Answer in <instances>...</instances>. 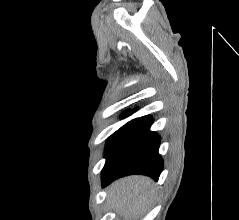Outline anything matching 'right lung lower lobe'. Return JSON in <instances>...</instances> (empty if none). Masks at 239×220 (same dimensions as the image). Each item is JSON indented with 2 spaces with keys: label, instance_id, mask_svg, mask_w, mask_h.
Returning a JSON list of instances; mask_svg holds the SVG:
<instances>
[{
  "label": "right lung lower lobe",
  "instance_id": "right-lung-lower-lobe-1",
  "mask_svg": "<svg viewBox=\"0 0 239 220\" xmlns=\"http://www.w3.org/2000/svg\"><path fill=\"white\" fill-rule=\"evenodd\" d=\"M152 118L143 116L122 126L106 150L102 185L131 174L148 175L157 180L163 168L158 153L160 137L150 131Z\"/></svg>",
  "mask_w": 239,
  "mask_h": 220
}]
</instances>
